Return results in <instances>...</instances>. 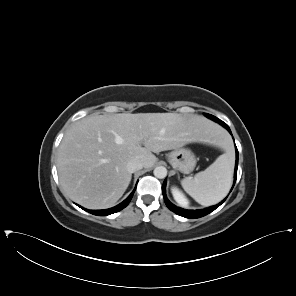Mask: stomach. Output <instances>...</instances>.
I'll return each instance as SVG.
<instances>
[{
  "label": "stomach",
  "instance_id": "obj_1",
  "mask_svg": "<svg viewBox=\"0 0 296 296\" xmlns=\"http://www.w3.org/2000/svg\"><path fill=\"white\" fill-rule=\"evenodd\" d=\"M171 166L184 174L192 172L196 166V157L188 148H177L167 155Z\"/></svg>",
  "mask_w": 296,
  "mask_h": 296
}]
</instances>
